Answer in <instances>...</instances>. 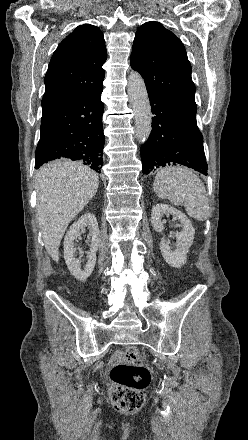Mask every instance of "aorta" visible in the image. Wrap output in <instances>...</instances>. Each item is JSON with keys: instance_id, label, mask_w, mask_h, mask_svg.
Instances as JSON below:
<instances>
[{"instance_id": "aorta-1", "label": "aorta", "mask_w": 248, "mask_h": 440, "mask_svg": "<svg viewBox=\"0 0 248 440\" xmlns=\"http://www.w3.org/2000/svg\"><path fill=\"white\" fill-rule=\"evenodd\" d=\"M127 90L134 113L136 137L139 143H145L152 130V113L144 80L138 72L132 71L128 76Z\"/></svg>"}]
</instances>
